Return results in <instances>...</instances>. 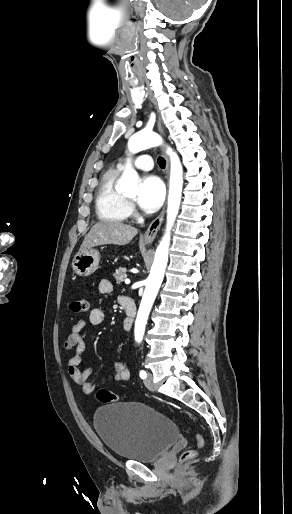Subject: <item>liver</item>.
I'll use <instances>...</instances> for the list:
<instances>
[{
	"mask_svg": "<svg viewBox=\"0 0 292 514\" xmlns=\"http://www.w3.org/2000/svg\"><path fill=\"white\" fill-rule=\"evenodd\" d=\"M136 234H138L136 228L122 224V222H97L85 236L80 252L94 248V246H103V244L125 246L133 240Z\"/></svg>",
	"mask_w": 292,
	"mask_h": 514,
	"instance_id": "1",
	"label": "liver"
}]
</instances>
